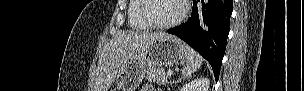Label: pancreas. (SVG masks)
Masks as SVG:
<instances>
[{"label": "pancreas", "instance_id": "1", "mask_svg": "<svg viewBox=\"0 0 304 91\" xmlns=\"http://www.w3.org/2000/svg\"><path fill=\"white\" fill-rule=\"evenodd\" d=\"M168 74L164 68L161 67H149L147 69V79L150 82L157 84H166L168 83Z\"/></svg>", "mask_w": 304, "mask_h": 91}]
</instances>
